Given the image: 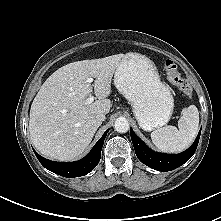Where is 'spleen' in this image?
Wrapping results in <instances>:
<instances>
[{
  "label": "spleen",
  "instance_id": "3e777b00",
  "mask_svg": "<svg viewBox=\"0 0 221 221\" xmlns=\"http://www.w3.org/2000/svg\"><path fill=\"white\" fill-rule=\"evenodd\" d=\"M199 127V112L195 105L182 110L178 128L165 126L151 133L153 144L164 152L176 153L188 148L194 141Z\"/></svg>",
  "mask_w": 221,
  "mask_h": 221
}]
</instances>
